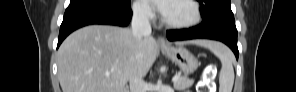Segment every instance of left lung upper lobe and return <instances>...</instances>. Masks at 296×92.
<instances>
[{
  "label": "left lung upper lobe",
  "mask_w": 296,
  "mask_h": 92,
  "mask_svg": "<svg viewBox=\"0 0 296 92\" xmlns=\"http://www.w3.org/2000/svg\"><path fill=\"white\" fill-rule=\"evenodd\" d=\"M201 5L200 11L203 16V28H210L224 19H234L231 11L230 0H198Z\"/></svg>",
  "instance_id": "obj_1"
}]
</instances>
